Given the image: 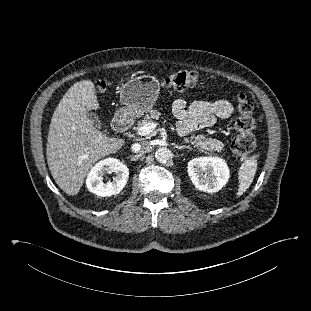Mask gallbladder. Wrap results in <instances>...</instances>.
Instances as JSON below:
<instances>
[{
	"mask_svg": "<svg viewBox=\"0 0 311 311\" xmlns=\"http://www.w3.org/2000/svg\"><path fill=\"white\" fill-rule=\"evenodd\" d=\"M87 115H88L89 119H91L93 121V124L97 128H102V123H101L99 117L95 113L89 111V112H87Z\"/></svg>",
	"mask_w": 311,
	"mask_h": 311,
	"instance_id": "1",
	"label": "gallbladder"
}]
</instances>
